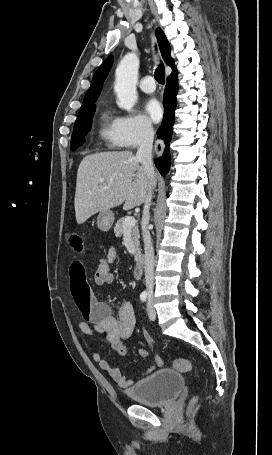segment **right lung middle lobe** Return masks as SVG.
<instances>
[{
	"instance_id": "1",
	"label": "right lung middle lobe",
	"mask_w": 272,
	"mask_h": 455,
	"mask_svg": "<svg viewBox=\"0 0 272 455\" xmlns=\"http://www.w3.org/2000/svg\"><path fill=\"white\" fill-rule=\"evenodd\" d=\"M95 102L81 106L71 138V150H76L85 142V136L90 131L95 112Z\"/></svg>"
}]
</instances>
